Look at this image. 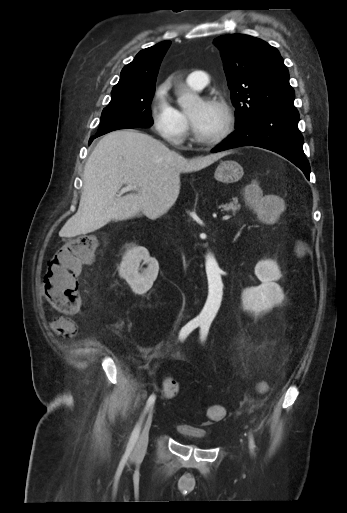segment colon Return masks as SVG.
Returning a JSON list of instances; mask_svg holds the SVG:
<instances>
[{
	"label": "colon",
	"mask_w": 347,
	"mask_h": 513,
	"mask_svg": "<svg viewBox=\"0 0 347 513\" xmlns=\"http://www.w3.org/2000/svg\"><path fill=\"white\" fill-rule=\"evenodd\" d=\"M244 198L251 207L262 211L258 210V218L266 224H274L284 210L277 197L263 198L257 186L247 187ZM97 246L95 236H78L63 244L50 259L44 275V289L49 304L55 310L74 313L82 308L78 276L82 267L92 261ZM163 392L166 398H175L180 392V385L173 379H167ZM224 416L222 406L214 405L208 410V417L212 420L219 421Z\"/></svg>",
	"instance_id": "1"
}]
</instances>
